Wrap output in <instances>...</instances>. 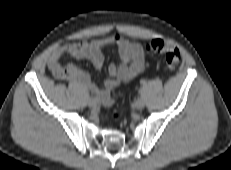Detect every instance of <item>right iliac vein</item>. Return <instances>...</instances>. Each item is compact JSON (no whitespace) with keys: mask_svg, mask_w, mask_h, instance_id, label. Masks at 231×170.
Instances as JSON below:
<instances>
[{"mask_svg":"<svg viewBox=\"0 0 231 170\" xmlns=\"http://www.w3.org/2000/svg\"><path fill=\"white\" fill-rule=\"evenodd\" d=\"M88 106H89L90 108L95 109V108L98 107V101L95 100V99H90V100L88 101Z\"/></svg>","mask_w":231,"mask_h":170,"instance_id":"63e3f726","label":"right iliac vein"}]
</instances>
